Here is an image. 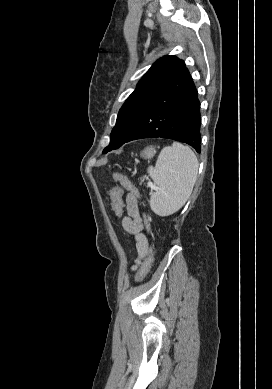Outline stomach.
Here are the masks:
<instances>
[{
  "mask_svg": "<svg viewBox=\"0 0 272 389\" xmlns=\"http://www.w3.org/2000/svg\"><path fill=\"white\" fill-rule=\"evenodd\" d=\"M156 154V147L149 146L146 147L141 153L140 156L144 159H151Z\"/></svg>",
  "mask_w": 272,
  "mask_h": 389,
  "instance_id": "stomach-1",
  "label": "stomach"
}]
</instances>
